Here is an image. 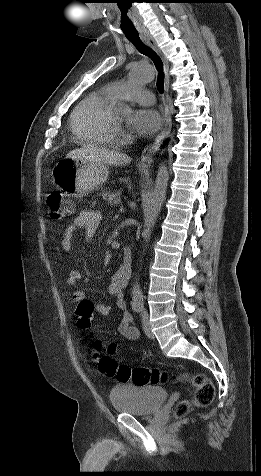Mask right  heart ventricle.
I'll return each instance as SVG.
<instances>
[{
	"label": "right heart ventricle",
	"mask_w": 261,
	"mask_h": 476,
	"mask_svg": "<svg viewBox=\"0 0 261 476\" xmlns=\"http://www.w3.org/2000/svg\"><path fill=\"white\" fill-rule=\"evenodd\" d=\"M115 98L102 89L89 93L75 107L70 125L81 144L110 145L116 137V124L111 114Z\"/></svg>",
	"instance_id": "e07e8e85"
}]
</instances>
